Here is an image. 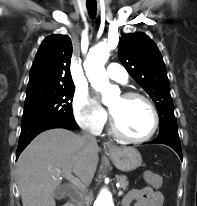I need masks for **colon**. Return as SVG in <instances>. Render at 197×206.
<instances>
[{
    "label": "colon",
    "mask_w": 197,
    "mask_h": 206,
    "mask_svg": "<svg viewBox=\"0 0 197 206\" xmlns=\"http://www.w3.org/2000/svg\"><path fill=\"white\" fill-rule=\"evenodd\" d=\"M149 179L153 183L154 186H158L161 182L160 177L156 174H151Z\"/></svg>",
    "instance_id": "colon-1"
}]
</instances>
